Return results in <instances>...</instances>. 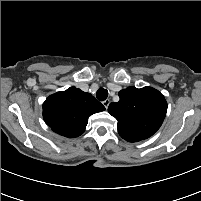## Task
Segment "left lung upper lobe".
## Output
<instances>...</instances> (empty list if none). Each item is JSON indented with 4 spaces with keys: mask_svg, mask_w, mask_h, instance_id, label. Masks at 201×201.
<instances>
[{
    "mask_svg": "<svg viewBox=\"0 0 201 201\" xmlns=\"http://www.w3.org/2000/svg\"><path fill=\"white\" fill-rule=\"evenodd\" d=\"M119 102H113L108 112L117 121L119 135L129 142L151 137L162 125L167 112L164 96L152 87H128L119 92Z\"/></svg>",
    "mask_w": 201,
    "mask_h": 201,
    "instance_id": "1",
    "label": "left lung upper lobe"
}]
</instances>
